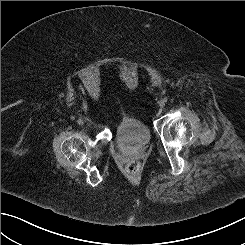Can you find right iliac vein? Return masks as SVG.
Segmentation results:
<instances>
[{
  "mask_svg": "<svg viewBox=\"0 0 245 245\" xmlns=\"http://www.w3.org/2000/svg\"><path fill=\"white\" fill-rule=\"evenodd\" d=\"M76 122H77V124H78V125H83V120H82V119H80V118H79V119H77V121H76Z\"/></svg>",
  "mask_w": 245,
  "mask_h": 245,
  "instance_id": "obj_1",
  "label": "right iliac vein"
}]
</instances>
